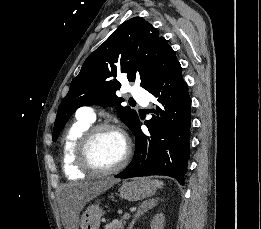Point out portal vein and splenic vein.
Here are the masks:
<instances>
[{"label": "portal vein and splenic vein", "mask_w": 261, "mask_h": 229, "mask_svg": "<svg viewBox=\"0 0 261 229\" xmlns=\"http://www.w3.org/2000/svg\"><path fill=\"white\" fill-rule=\"evenodd\" d=\"M123 217H125V219H129L128 213H126V215H123Z\"/></svg>", "instance_id": "portal-vein-and-splenic-vein-1"}]
</instances>
